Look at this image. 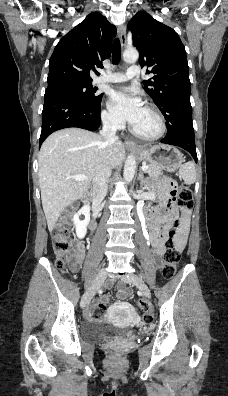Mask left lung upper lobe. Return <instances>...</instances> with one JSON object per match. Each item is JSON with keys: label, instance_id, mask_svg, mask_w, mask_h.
<instances>
[{"label": "left lung upper lobe", "instance_id": "obj_1", "mask_svg": "<svg viewBox=\"0 0 228 396\" xmlns=\"http://www.w3.org/2000/svg\"><path fill=\"white\" fill-rule=\"evenodd\" d=\"M128 29L132 33L133 45L140 53L141 67H149L146 74H153L143 84L159 109L174 98L190 96L186 51L178 34L145 11L135 14ZM174 107L179 113L182 104L177 101Z\"/></svg>", "mask_w": 228, "mask_h": 396}]
</instances>
